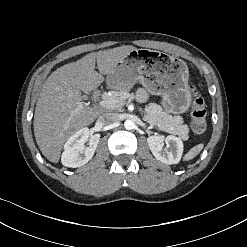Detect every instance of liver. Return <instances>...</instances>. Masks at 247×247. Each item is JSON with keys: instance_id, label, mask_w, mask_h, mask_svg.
Wrapping results in <instances>:
<instances>
[{"instance_id": "liver-1", "label": "liver", "mask_w": 247, "mask_h": 247, "mask_svg": "<svg viewBox=\"0 0 247 247\" xmlns=\"http://www.w3.org/2000/svg\"><path fill=\"white\" fill-rule=\"evenodd\" d=\"M124 45L92 52L76 62L61 66L44 82L34 113V135L42 154L58 163L63 145L76 131L92 124L99 111L82 104L81 92L96 90L117 63L131 51ZM97 64L98 71H95Z\"/></svg>"}]
</instances>
